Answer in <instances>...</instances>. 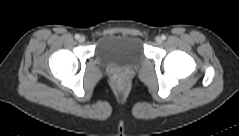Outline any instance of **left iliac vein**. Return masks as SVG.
I'll return each instance as SVG.
<instances>
[{
  "label": "left iliac vein",
  "instance_id": "left-iliac-vein-1",
  "mask_svg": "<svg viewBox=\"0 0 239 136\" xmlns=\"http://www.w3.org/2000/svg\"><path fill=\"white\" fill-rule=\"evenodd\" d=\"M155 42H156L157 44H161V43H162V38H161L160 36H157V37L155 38Z\"/></svg>",
  "mask_w": 239,
  "mask_h": 136
}]
</instances>
